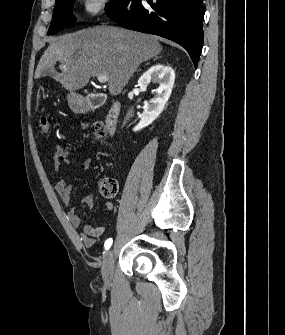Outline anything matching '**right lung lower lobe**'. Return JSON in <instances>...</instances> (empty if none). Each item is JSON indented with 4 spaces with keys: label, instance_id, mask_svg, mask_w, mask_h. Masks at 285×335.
<instances>
[{
    "label": "right lung lower lobe",
    "instance_id": "right-lung-lower-lobe-1",
    "mask_svg": "<svg viewBox=\"0 0 285 335\" xmlns=\"http://www.w3.org/2000/svg\"><path fill=\"white\" fill-rule=\"evenodd\" d=\"M203 0H119L108 16L120 26L155 34L184 47L195 67L203 45Z\"/></svg>",
    "mask_w": 285,
    "mask_h": 335
}]
</instances>
